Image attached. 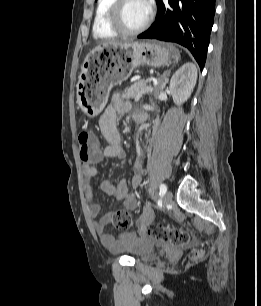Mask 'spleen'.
Listing matches in <instances>:
<instances>
[{
    "instance_id": "1",
    "label": "spleen",
    "mask_w": 261,
    "mask_h": 306,
    "mask_svg": "<svg viewBox=\"0 0 261 306\" xmlns=\"http://www.w3.org/2000/svg\"><path fill=\"white\" fill-rule=\"evenodd\" d=\"M170 51L173 54L172 57L174 58V61L177 63L180 59L179 51L173 46H170Z\"/></svg>"
}]
</instances>
